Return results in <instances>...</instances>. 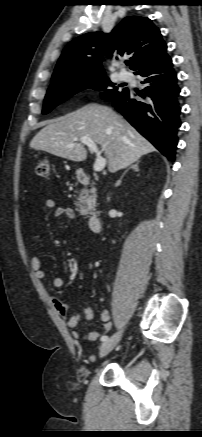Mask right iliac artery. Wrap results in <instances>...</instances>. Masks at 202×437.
I'll use <instances>...</instances> for the list:
<instances>
[{"mask_svg": "<svg viewBox=\"0 0 202 437\" xmlns=\"http://www.w3.org/2000/svg\"><path fill=\"white\" fill-rule=\"evenodd\" d=\"M108 339V336L104 335L101 337V341H106Z\"/></svg>", "mask_w": 202, "mask_h": 437, "instance_id": "right-iliac-artery-1", "label": "right iliac artery"}]
</instances>
